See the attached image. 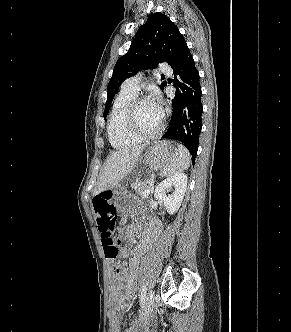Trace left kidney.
<instances>
[{
    "mask_svg": "<svg viewBox=\"0 0 291 332\" xmlns=\"http://www.w3.org/2000/svg\"><path fill=\"white\" fill-rule=\"evenodd\" d=\"M186 188L187 176L184 173H177L157 185L154 197L164 203L169 214H174L181 206Z\"/></svg>",
    "mask_w": 291,
    "mask_h": 332,
    "instance_id": "5707ae66",
    "label": "left kidney"
}]
</instances>
